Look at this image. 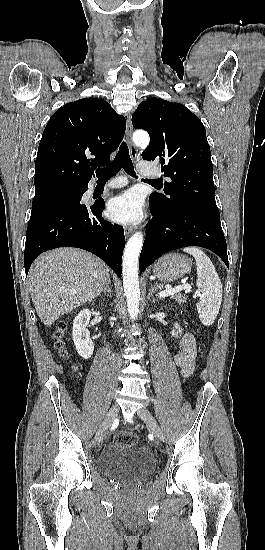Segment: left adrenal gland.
<instances>
[{
	"mask_svg": "<svg viewBox=\"0 0 265 550\" xmlns=\"http://www.w3.org/2000/svg\"><path fill=\"white\" fill-rule=\"evenodd\" d=\"M155 294V291H154V287L153 285L151 284L150 285V289H149V293H148V300H150V298ZM158 299H160V297L158 295H155Z\"/></svg>",
	"mask_w": 265,
	"mask_h": 550,
	"instance_id": "a2214340",
	"label": "left adrenal gland"
}]
</instances>
